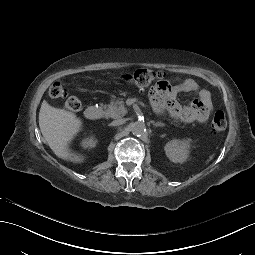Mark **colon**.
Segmentation results:
<instances>
[{
  "instance_id": "colon-1",
  "label": "colon",
  "mask_w": 255,
  "mask_h": 255,
  "mask_svg": "<svg viewBox=\"0 0 255 255\" xmlns=\"http://www.w3.org/2000/svg\"><path fill=\"white\" fill-rule=\"evenodd\" d=\"M124 80L137 87L144 88L152 82H156V87L159 89L165 86V74L161 71H154L149 69H138L132 73L124 75ZM49 96L53 99L62 98L66 96V89L61 83H53L49 88ZM65 110L68 112H78L81 109V102L77 97H69L64 104ZM227 120L223 111H216L211 122V130L213 132H221L225 130Z\"/></svg>"
}]
</instances>
